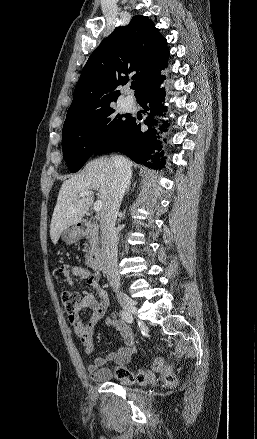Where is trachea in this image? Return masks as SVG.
I'll return each mask as SVG.
<instances>
[{
    "label": "trachea",
    "instance_id": "3493384b",
    "mask_svg": "<svg viewBox=\"0 0 257 439\" xmlns=\"http://www.w3.org/2000/svg\"><path fill=\"white\" fill-rule=\"evenodd\" d=\"M136 88H137V84H136V82H133L131 85V89H136Z\"/></svg>",
    "mask_w": 257,
    "mask_h": 439
}]
</instances>
